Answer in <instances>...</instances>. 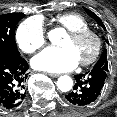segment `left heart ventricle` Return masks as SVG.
I'll return each mask as SVG.
<instances>
[{
  "label": "left heart ventricle",
  "mask_w": 117,
  "mask_h": 117,
  "mask_svg": "<svg viewBox=\"0 0 117 117\" xmlns=\"http://www.w3.org/2000/svg\"><path fill=\"white\" fill-rule=\"evenodd\" d=\"M62 46L72 48L80 61L81 59L87 58L91 55L95 42L91 37H86L81 40H73L67 36L63 41Z\"/></svg>",
  "instance_id": "b2bd125f"
}]
</instances>
